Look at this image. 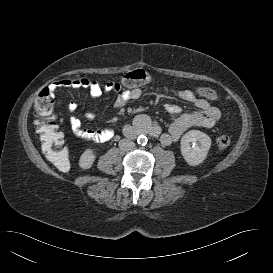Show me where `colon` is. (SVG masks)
Wrapping results in <instances>:
<instances>
[{
	"instance_id": "obj_1",
	"label": "colon",
	"mask_w": 273,
	"mask_h": 273,
	"mask_svg": "<svg viewBox=\"0 0 273 273\" xmlns=\"http://www.w3.org/2000/svg\"><path fill=\"white\" fill-rule=\"evenodd\" d=\"M151 81L149 72L137 69L129 71L121 76L120 82H116L118 86L135 87L147 84ZM197 93L208 100H217V94L212 89L200 87ZM51 89L44 88L35 101V110L37 114L43 117V120L35 122L36 132L41 141V149L45 157L54 163V165L62 172L69 169L70 163L68 153L64 146L63 134L59 131L58 124L53 118V105L50 99ZM231 138L227 134H221L217 138V145L226 148L230 145Z\"/></svg>"
}]
</instances>
